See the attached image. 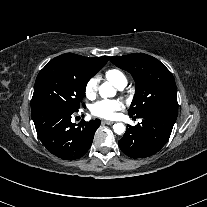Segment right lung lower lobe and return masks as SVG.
I'll use <instances>...</instances> for the list:
<instances>
[{"instance_id": "1", "label": "right lung lower lobe", "mask_w": 207, "mask_h": 207, "mask_svg": "<svg viewBox=\"0 0 207 207\" xmlns=\"http://www.w3.org/2000/svg\"><path fill=\"white\" fill-rule=\"evenodd\" d=\"M74 112L57 106L31 109V115L39 139L54 155L66 160L82 157L90 148L100 120L71 122Z\"/></svg>"}]
</instances>
